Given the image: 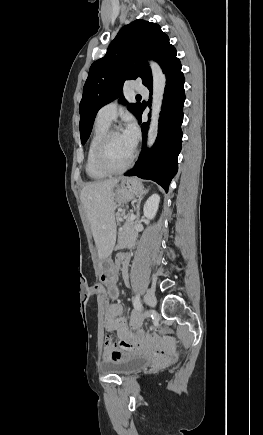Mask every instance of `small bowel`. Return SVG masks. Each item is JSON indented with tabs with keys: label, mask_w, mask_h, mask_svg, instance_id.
Returning a JSON list of instances; mask_svg holds the SVG:
<instances>
[{
	"label": "small bowel",
	"mask_w": 263,
	"mask_h": 435,
	"mask_svg": "<svg viewBox=\"0 0 263 435\" xmlns=\"http://www.w3.org/2000/svg\"><path fill=\"white\" fill-rule=\"evenodd\" d=\"M134 239L126 237L123 242L131 245ZM114 265L121 269L125 283H129L128 265L129 255L118 253L115 256ZM142 315L134 312L129 318L123 316V307L119 303L107 305L105 329L115 332L119 341H114L112 350H103L102 359L106 362L117 361L128 355L150 356L156 364H164L166 361H176L178 354L174 352V343L162 341L164 334L154 332L146 334L142 329Z\"/></svg>",
	"instance_id": "1"
}]
</instances>
